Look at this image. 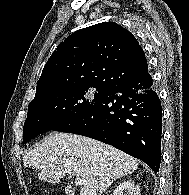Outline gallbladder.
<instances>
[{
	"label": "gallbladder",
	"mask_w": 189,
	"mask_h": 195,
	"mask_svg": "<svg viewBox=\"0 0 189 195\" xmlns=\"http://www.w3.org/2000/svg\"><path fill=\"white\" fill-rule=\"evenodd\" d=\"M65 192L67 195H73L72 194L73 191L69 187H65Z\"/></svg>",
	"instance_id": "obj_1"
}]
</instances>
